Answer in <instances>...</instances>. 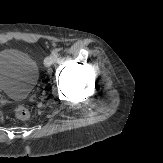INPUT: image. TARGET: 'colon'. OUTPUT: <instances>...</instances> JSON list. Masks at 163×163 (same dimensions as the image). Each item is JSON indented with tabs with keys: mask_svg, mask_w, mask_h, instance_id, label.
I'll list each match as a JSON object with an SVG mask.
<instances>
[{
	"mask_svg": "<svg viewBox=\"0 0 163 163\" xmlns=\"http://www.w3.org/2000/svg\"><path fill=\"white\" fill-rule=\"evenodd\" d=\"M15 116H16V118H18L20 120H25V119L29 118L30 111L28 108H26L24 106H19L15 109Z\"/></svg>",
	"mask_w": 163,
	"mask_h": 163,
	"instance_id": "1",
	"label": "colon"
}]
</instances>
